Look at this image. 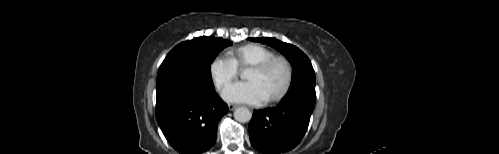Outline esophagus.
<instances>
[{
	"label": "esophagus",
	"instance_id": "obj_1",
	"mask_svg": "<svg viewBox=\"0 0 499 154\" xmlns=\"http://www.w3.org/2000/svg\"><path fill=\"white\" fill-rule=\"evenodd\" d=\"M237 107L236 104H228V108L230 111H233Z\"/></svg>",
	"mask_w": 499,
	"mask_h": 154
}]
</instances>
